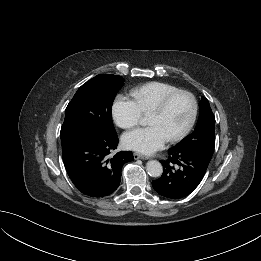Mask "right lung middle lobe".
Instances as JSON below:
<instances>
[{"label": "right lung middle lobe", "mask_w": 261, "mask_h": 261, "mask_svg": "<svg viewBox=\"0 0 261 261\" xmlns=\"http://www.w3.org/2000/svg\"><path fill=\"white\" fill-rule=\"evenodd\" d=\"M123 82L121 76L100 74L77 90L65 110L60 132L62 145L82 136L116 133L111 108Z\"/></svg>", "instance_id": "dd1d6c3e"}]
</instances>
